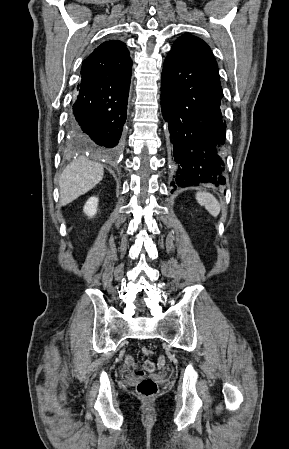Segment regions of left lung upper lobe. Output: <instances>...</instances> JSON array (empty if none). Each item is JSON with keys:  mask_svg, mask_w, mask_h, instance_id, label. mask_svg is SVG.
<instances>
[{"mask_svg": "<svg viewBox=\"0 0 289 449\" xmlns=\"http://www.w3.org/2000/svg\"><path fill=\"white\" fill-rule=\"evenodd\" d=\"M172 50L199 56L207 60L211 65L218 69L210 47L198 37L192 35H182L174 42Z\"/></svg>", "mask_w": 289, "mask_h": 449, "instance_id": "1", "label": "left lung upper lobe"}]
</instances>
